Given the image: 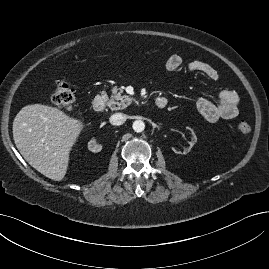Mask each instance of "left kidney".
Segmentation results:
<instances>
[{
  "instance_id": "obj_1",
  "label": "left kidney",
  "mask_w": 269,
  "mask_h": 269,
  "mask_svg": "<svg viewBox=\"0 0 269 269\" xmlns=\"http://www.w3.org/2000/svg\"><path fill=\"white\" fill-rule=\"evenodd\" d=\"M188 130L190 131L191 134V138L189 143V147L188 148H184V150L182 149L181 151H178L177 149H175L174 147L172 148V150L176 153V154H182L185 155L187 152L190 151V149L192 148V146L197 142V136L196 134L193 132L192 129L188 128Z\"/></svg>"
}]
</instances>
